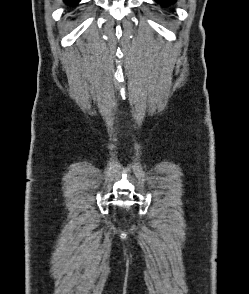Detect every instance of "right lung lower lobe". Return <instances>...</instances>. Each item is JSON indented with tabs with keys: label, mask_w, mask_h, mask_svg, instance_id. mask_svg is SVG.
I'll list each match as a JSON object with an SVG mask.
<instances>
[{
	"label": "right lung lower lobe",
	"mask_w": 249,
	"mask_h": 294,
	"mask_svg": "<svg viewBox=\"0 0 249 294\" xmlns=\"http://www.w3.org/2000/svg\"><path fill=\"white\" fill-rule=\"evenodd\" d=\"M64 1L69 4H77L80 0H64Z\"/></svg>",
	"instance_id": "98d812e1"
}]
</instances>
